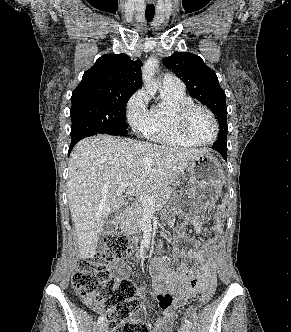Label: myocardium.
<instances>
[{
	"mask_svg": "<svg viewBox=\"0 0 291 332\" xmlns=\"http://www.w3.org/2000/svg\"><path fill=\"white\" fill-rule=\"evenodd\" d=\"M196 110H202L205 113H207L213 122L215 133L213 138L209 141H200L190 133L189 120L193 112H195ZM177 125L182 135L196 145H201V146L210 145L216 141L219 134V125L214 113L208 107L201 104L190 103L184 105L178 112Z\"/></svg>",
	"mask_w": 291,
	"mask_h": 332,
	"instance_id": "1",
	"label": "myocardium"
}]
</instances>
